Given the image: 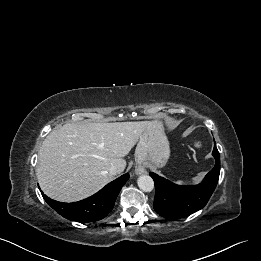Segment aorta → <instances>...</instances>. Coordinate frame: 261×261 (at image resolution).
Returning a JSON list of instances; mask_svg holds the SVG:
<instances>
[{"mask_svg": "<svg viewBox=\"0 0 261 261\" xmlns=\"http://www.w3.org/2000/svg\"><path fill=\"white\" fill-rule=\"evenodd\" d=\"M138 187L144 192H151L154 189V181L149 175H141L137 180Z\"/></svg>", "mask_w": 261, "mask_h": 261, "instance_id": "1", "label": "aorta"}]
</instances>
